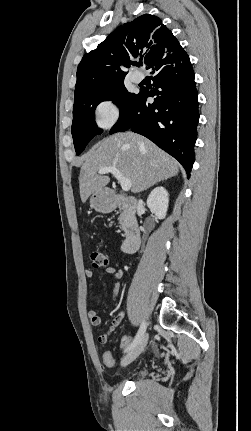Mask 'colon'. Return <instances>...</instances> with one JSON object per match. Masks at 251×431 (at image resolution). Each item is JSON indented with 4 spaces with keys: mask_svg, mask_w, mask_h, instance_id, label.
I'll return each mask as SVG.
<instances>
[{
    "mask_svg": "<svg viewBox=\"0 0 251 431\" xmlns=\"http://www.w3.org/2000/svg\"><path fill=\"white\" fill-rule=\"evenodd\" d=\"M89 258L91 264L95 268L104 267L107 265L108 260L107 257L97 249H91L89 251ZM131 341V338L127 335L123 336L120 340L121 350L127 351L128 345ZM115 360V355L111 350L103 352L101 355V363L106 366L109 370H114L117 367Z\"/></svg>",
    "mask_w": 251,
    "mask_h": 431,
    "instance_id": "5ec220e1",
    "label": "colon"
}]
</instances>
